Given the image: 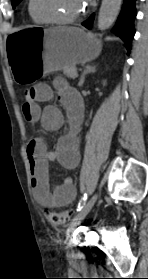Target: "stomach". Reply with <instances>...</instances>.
I'll return each mask as SVG.
<instances>
[{
    "label": "stomach",
    "instance_id": "1",
    "mask_svg": "<svg viewBox=\"0 0 148 279\" xmlns=\"http://www.w3.org/2000/svg\"><path fill=\"white\" fill-rule=\"evenodd\" d=\"M6 59L10 78H15L17 87H34V82H43L50 71L64 66H75L97 58L102 44L91 33L74 27L43 29L42 25H25L12 30ZM42 49V50H41Z\"/></svg>",
    "mask_w": 148,
    "mask_h": 279
}]
</instances>
